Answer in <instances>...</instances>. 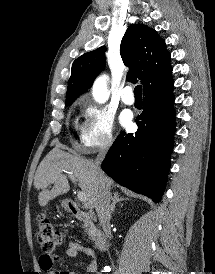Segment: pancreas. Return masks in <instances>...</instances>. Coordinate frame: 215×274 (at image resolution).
<instances>
[{"mask_svg": "<svg viewBox=\"0 0 215 274\" xmlns=\"http://www.w3.org/2000/svg\"><path fill=\"white\" fill-rule=\"evenodd\" d=\"M83 228H84L85 232L89 235L90 239L95 238L94 228L91 223L85 222L83 224Z\"/></svg>", "mask_w": 215, "mask_h": 274, "instance_id": "pancreas-1", "label": "pancreas"}]
</instances>
